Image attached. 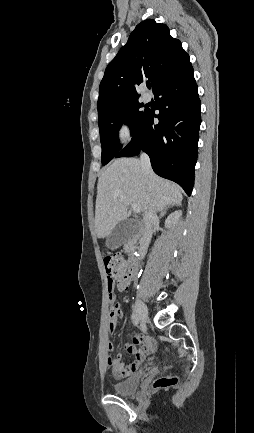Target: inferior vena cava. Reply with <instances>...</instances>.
<instances>
[{"label":"inferior vena cava","mask_w":254,"mask_h":433,"mask_svg":"<svg viewBox=\"0 0 254 433\" xmlns=\"http://www.w3.org/2000/svg\"><path fill=\"white\" fill-rule=\"evenodd\" d=\"M140 161H141L142 168L147 173H151L152 168H151L149 156L146 153H142L140 156ZM155 220H157L156 211L153 207H150L143 216L144 232L142 238L140 239V248H139V253L141 255V258L144 257L146 250L149 246L150 240L152 238V234H153L152 224Z\"/></svg>","instance_id":"obj_1"}]
</instances>
